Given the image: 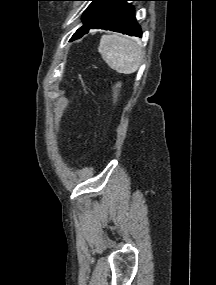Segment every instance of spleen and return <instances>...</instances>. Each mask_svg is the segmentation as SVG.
<instances>
[{"label": "spleen", "instance_id": "obj_1", "mask_svg": "<svg viewBox=\"0 0 216 285\" xmlns=\"http://www.w3.org/2000/svg\"><path fill=\"white\" fill-rule=\"evenodd\" d=\"M98 51L111 69L125 75L138 70L143 55L138 42L119 34L103 35Z\"/></svg>", "mask_w": 216, "mask_h": 285}]
</instances>
